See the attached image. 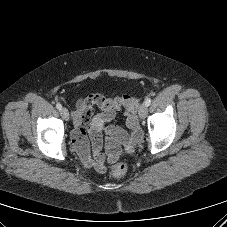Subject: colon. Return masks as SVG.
I'll use <instances>...</instances> for the list:
<instances>
[{"label": "colon", "instance_id": "colon-1", "mask_svg": "<svg viewBox=\"0 0 227 227\" xmlns=\"http://www.w3.org/2000/svg\"><path fill=\"white\" fill-rule=\"evenodd\" d=\"M127 171V165L124 162H118L111 168V174L115 178L122 177Z\"/></svg>", "mask_w": 227, "mask_h": 227}]
</instances>
